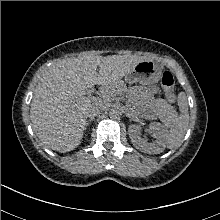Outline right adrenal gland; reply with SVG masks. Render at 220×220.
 <instances>
[{
	"instance_id": "right-adrenal-gland-1",
	"label": "right adrenal gland",
	"mask_w": 220,
	"mask_h": 220,
	"mask_svg": "<svg viewBox=\"0 0 220 220\" xmlns=\"http://www.w3.org/2000/svg\"><path fill=\"white\" fill-rule=\"evenodd\" d=\"M93 120H94V118H90V119L86 120L85 127L87 128L89 125V122H92Z\"/></svg>"
}]
</instances>
